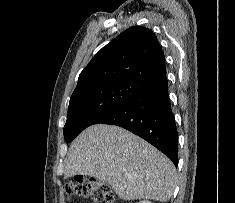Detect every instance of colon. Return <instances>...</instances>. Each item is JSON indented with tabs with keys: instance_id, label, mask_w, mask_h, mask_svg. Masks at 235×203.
Listing matches in <instances>:
<instances>
[{
	"instance_id": "5ec220e1",
	"label": "colon",
	"mask_w": 235,
	"mask_h": 203,
	"mask_svg": "<svg viewBox=\"0 0 235 203\" xmlns=\"http://www.w3.org/2000/svg\"><path fill=\"white\" fill-rule=\"evenodd\" d=\"M66 189L68 194L88 198L93 203H115L113 191L108 185H98L89 178L78 176Z\"/></svg>"
}]
</instances>
